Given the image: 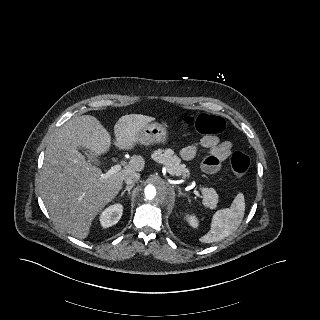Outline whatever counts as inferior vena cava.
<instances>
[{"mask_svg":"<svg viewBox=\"0 0 320 320\" xmlns=\"http://www.w3.org/2000/svg\"><path fill=\"white\" fill-rule=\"evenodd\" d=\"M140 179V174L137 172L130 173L125 177L124 181L127 185L134 184Z\"/></svg>","mask_w":320,"mask_h":320,"instance_id":"602c4592","label":"inferior vena cava"}]
</instances>
